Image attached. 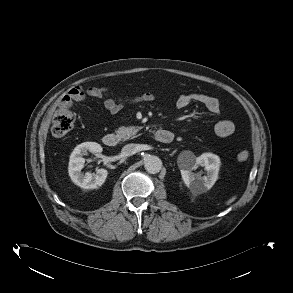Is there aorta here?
<instances>
[{
  "mask_svg": "<svg viewBox=\"0 0 293 293\" xmlns=\"http://www.w3.org/2000/svg\"><path fill=\"white\" fill-rule=\"evenodd\" d=\"M144 167L148 173L156 174L162 168V161L158 156L148 155L144 160Z\"/></svg>",
  "mask_w": 293,
  "mask_h": 293,
  "instance_id": "1",
  "label": "aorta"
}]
</instances>
